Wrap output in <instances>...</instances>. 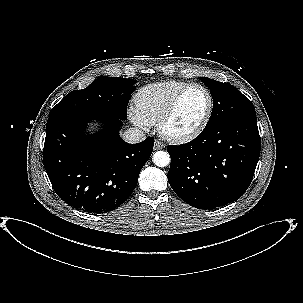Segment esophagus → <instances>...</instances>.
<instances>
[{
	"label": "esophagus",
	"mask_w": 303,
	"mask_h": 303,
	"mask_svg": "<svg viewBox=\"0 0 303 303\" xmlns=\"http://www.w3.org/2000/svg\"><path fill=\"white\" fill-rule=\"evenodd\" d=\"M165 148V144L159 140H155L154 142V150H159Z\"/></svg>",
	"instance_id": "obj_1"
}]
</instances>
